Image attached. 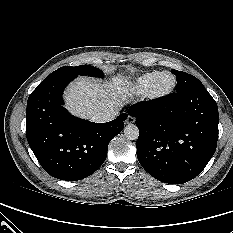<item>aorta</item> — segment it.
<instances>
[{"label":"aorta","instance_id":"1","mask_svg":"<svg viewBox=\"0 0 233 233\" xmlns=\"http://www.w3.org/2000/svg\"><path fill=\"white\" fill-rule=\"evenodd\" d=\"M124 136L128 140H136L139 137V129L134 124H129L124 128Z\"/></svg>","mask_w":233,"mask_h":233}]
</instances>
